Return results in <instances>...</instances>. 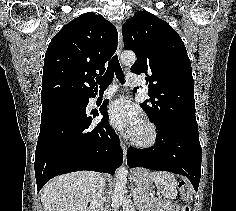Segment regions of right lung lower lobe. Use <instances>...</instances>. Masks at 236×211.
I'll return each mask as SVG.
<instances>
[{"mask_svg": "<svg viewBox=\"0 0 236 211\" xmlns=\"http://www.w3.org/2000/svg\"><path fill=\"white\" fill-rule=\"evenodd\" d=\"M89 98L80 107L42 108L34 163L38 192L58 175L81 170L114 174L121 165L119 139L105 115L108 101L100 109L104 118L91 126L98 114L86 115Z\"/></svg>", "mask_w": 236, "mask_h": 211, "instance_id": "right-lung-lower-lobe-1", "label": "right lung lower lobe"}]
</instances>
